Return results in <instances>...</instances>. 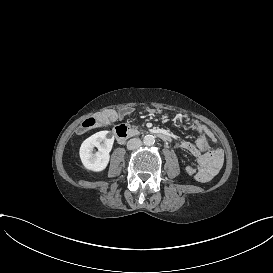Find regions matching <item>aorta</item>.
<instances>
[{
	"label": "aorta",
	"mask_w": 273,
	"mask_h": 273,
	"mask_svg": "<svg viewBox=\"0 0 273 273\" xmlns=\"http://www.w3.org/2000/svg\"><path fill=\"white\" fill-rule=\"evenodd\" d=\"M143 143L147 146H151L155 143V137L153 135H145L143 138Z\"/></svg>",
	"instance_id": "1"
}]
</instances>
